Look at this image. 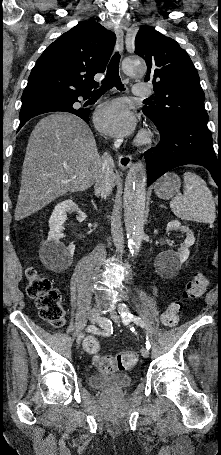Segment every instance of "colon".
<instances>
[{"mask_svg":"<svg viewBox=\"0 0 221 455\" xmlns=\"http://www.w3.org/2000/svg\"><path fill=\"white\" fill-rule=\"evenodd\" d=\"M25 275L28 281L27 294L35 299L40 316L51 326L62 327L65 323V311L59 291L54 289L50 280L41 275L35 267H28ZM206 288V277L201 274L196 275L185 285L183 298H198L204 294ZM182 309L181 300L172 301L162 314V324L168 328L175 327ZM83 346L88 354L94 356V365L105 373L125 371L138 362V354L135 351H125L116 355H98L100 344L94 337H87Z\"/></svg>","mask_w":221,"mask_h":455,"instance_id":"1","label":"colon"}]
</instances>
